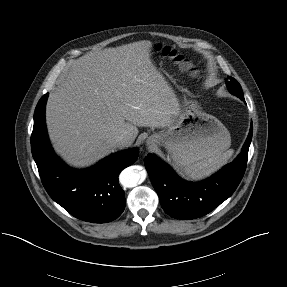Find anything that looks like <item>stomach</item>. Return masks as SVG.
Masks as SVG:
<instances>
[{"instance_id": "0dacf381", "label": "stomach", "mask_w": 287, "mask_h": 287, "mask_svg": "<svg viewBox=\"0 0 287 287\" xmlns=\"http://www.w3.org/2000/svg\"><path fill=\"white\" fill-rule=\"evenodd\" d=\"M149 142L164 146L179 167L217 156L231 145L227 128L204 112L197 101L184 98L177 120L167 129L153 134Z\"/></svg>"}]
</instances>
